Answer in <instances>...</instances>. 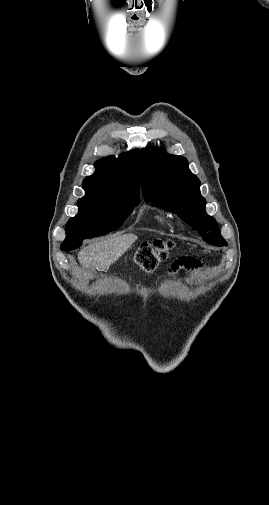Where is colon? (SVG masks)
Returning a JSON list of instances; mask_svg holds the SVG:
<instances>
[{
  "label": "colon",
  "instance_id": "5ec220e1",
  "mask_svg": "<svg viewBox=\"0 0 269 505\" xmlns=\"http://www.w3.org/2000/svg\"><path fill=\"white\" fill-rule=\"evenodd\" d=\"M166 258H167V248L163 243L142 246L138 249L136 253L137 264L140 266L142 270L146 272L154 271L159 265V263L165 260ZM182 259H191V258L182 257L179 258L178 260Z\"/></svg>",
  "mask_w": 269,
  "mask_h": 505
}]
</instances>
